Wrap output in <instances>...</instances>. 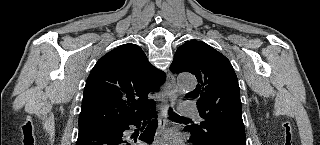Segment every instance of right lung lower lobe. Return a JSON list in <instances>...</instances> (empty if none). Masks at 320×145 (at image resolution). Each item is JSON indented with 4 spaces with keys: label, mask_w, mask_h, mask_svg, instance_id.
I'll use <instances>...</instances> for the list:
<instances>
[{
    "label": "right lung lower lobe",
    "mask_w": 320,
    "mask_h": 145,
    "mask_svg": "<svg viewBox=\"0 0 320 145\" xmlns=\"http://www.w3.org/2000/svg\"><path fill=\"white\" fill-rule=\"evenodd\" d=\"M155 107L142 117L129 123L98 126L89 129L79 130L76 145H134L137 138L131 140L125 136L124 131L129 129V125L140 126L141 120L149 117H157ZM157 120L154 119L151 124L139 136V139L146 143H151L155 134Z\"/></svg>",
    "instance_id": "right-lung-lower-lobe-1"
}]
</instances>
